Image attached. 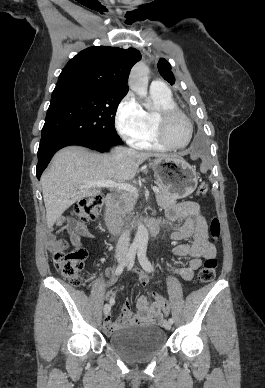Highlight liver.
I'll return each instance as SVG.
<instances>
[{
  "instance_id": "liver-1",
  "label": "liver",
  "mask_w": 265,
  "mask_h": 388,
  "mask_svg": "<svg viewBox=\"0 0 265 388\" xmlns=\"http://www.w3.org/2000/svg\"><path fill=\"white\" fill-rule=\"evenodd\" d=\"M152 156L181 158L184 154H153L128 148H116L111 154H91L81 146H68L57 152L41 176L48 228L52 230L56 220L75 202L100 194V188H81L85 186L84 180L128 182L133 180L140 164Z\"/></svg>"
}]
</instances>
